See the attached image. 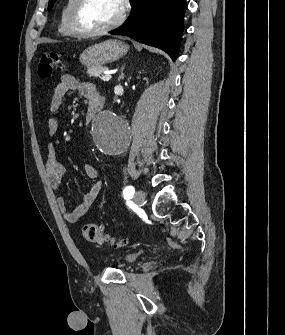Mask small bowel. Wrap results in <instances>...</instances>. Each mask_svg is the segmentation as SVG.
Returning a JSON list of instances; mask_svg holds the SVG:
<instances>
[{
    "label": "small bowel",
    "instance_id": "1",
    "mask_svg": "<svg viewBox=\"0 0 285 335\" xmlns=\"http://www.w3.org/2000/svg\"><path fill=\"white\" fill-rule=\"evenodd\" d=\"M71 91H76L82 97L92 102L94 100L102 99L97 92L94 85L91 83L79 82L74 76L65 74L61 77L60 82L55 86L49 110L51 113L56 114L60 110L66 96ZM59 130V122L57 118H50L47 123V131L50 136H54ZM45 168L47 178L53 187L58 190L61 181L65 175L63 165L59 162L56 150L53 144H48L45 150ZM85 174L95 179L98 176V171L93 165H86L84 168ZM102 190V182H95L90 188L89 192L83 197L79 205L72 211L67 210L65 200L62 197L57 198V206L65 221L69 223L77 222L88 211L93 202L97 199Z\"/></svg>",
    "mask_w": 285,
    "mask_h": 335
}]
</instances>
